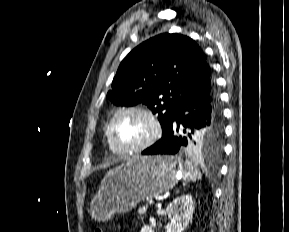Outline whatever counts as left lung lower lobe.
Returning a JSON list of instances; mask_svg holds the SVG:
<instances>
[{
    "label": "left lung lower lobe",
    "mask_w": 289,
    "mask_h": 232,
    "mask_svg": "<svg viewBox=\"0 0 289 232\" xmlns=\"http://www.w3.org/2000/svg\"><path fill=\"white\" fill-rule=\"evenodd\" d=\"M222 122L221 109L210 65L206 62L180 96L162 138L143 155L187 152L191 138Z\"/></svg>",
    "instance_id": "obj_1"
}]
</instances>
